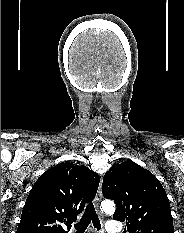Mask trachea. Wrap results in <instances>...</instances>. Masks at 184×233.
<instances>
[{"mask_svg": "<svg viewBox=\"0 0 184 233\" xmlns=\"http://www.w3.org/2000/svg\"><path fill=\"white\" fill-rule=\"evenodd\" d=\"M91 221L93 223L94 228H96L97 230L101 229L100 220L96 214V211H95V208L92 202H90L87 205L85 213L82 216L81 221L74 225V228L76 229V233H84Z\"/></svg>", "mask_w": 184, "mask_h": 233, "instance_id": "1", "label": "trachea"}]
</instances>
